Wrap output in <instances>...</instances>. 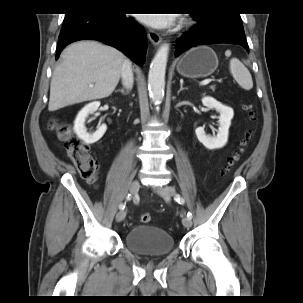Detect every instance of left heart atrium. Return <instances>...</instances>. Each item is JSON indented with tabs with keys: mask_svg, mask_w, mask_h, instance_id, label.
I'll return each instance as SVG.
<instances>
[{
	"mask_svg": "<svg viewBox=\"0 0 303 303\" xmlns=\"http://www.w3.org/2000/svg\"><path fill=\"white\" fill-rule=\"evenodd\" d=\"M139 19L153 27H165L173 23V14H140Z\"/></svg>",
	"mask_w": 303,
	"mask_h": 303,
	"instance_id": "39dd6f15",
	"label": "left heart atrium"
}]
</instances>
